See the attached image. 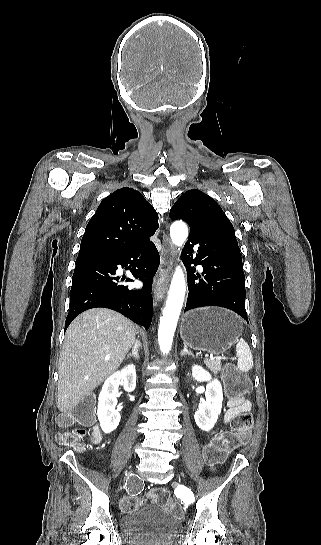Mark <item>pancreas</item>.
I'll return each mask as SVG.
<instances>
[{"instance_id": "pancreas-1", "label": "pancreas", "mask_w": 321, "mask_h": 545, "mask_svg": "<svg viewBox=\"0 0 321 545\" xmlns=\"http://www.w3.org/2000/svg\"><path fill=\"white\" fill-rule=\"evenodd\" d=\"M204 363L213 375H217L218 371H221V359H205Z\"/></svg>"}]
</instances>
